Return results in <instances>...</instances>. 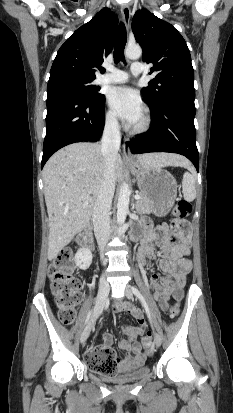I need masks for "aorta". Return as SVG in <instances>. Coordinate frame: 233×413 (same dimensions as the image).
<instances>
[{
	"mask_svg": "<svg viewBox=\"0 0 233 413\" xmlns=\"http://www.w3.org/2000/svg\"><path fill=\"white\" fill-rule=\"evenodd\" d=\"M127 58L135 60L142 56V49L138 45L127 46L125 49ZM130 188L127 183L120 186L118 203H117V222L119 225L124 224L126 215L129 211Z\"/></svg>",
	"mask_w": 233,
	"mask_h": 413,
	"instance_id": "aorta-1",
	"label": "aorta"
}]
</instances>
